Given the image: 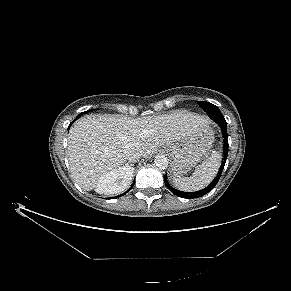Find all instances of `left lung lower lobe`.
<instances>
[{
    "label": "left lung lower lobe",
    "instance_id": "0a47b994",
    "mask_svg": "<svg viewBox=\"0 0 291 291\" xmlns=\"http://www.w3.org/2000/svg\"><path fill=\"white\" fill-rule=\"evenodd\" d=\"M213 121H215L221 128L222 133H223V137H224V158H223V162H222V166L217 174V176L214 178V180L204 189L196 191V192H183L180 190H177L175 188H173L172 186H170V184L167 181V177L166 175L164 176V183L166 184V186L168 187V189L173 192L175 195L182 197V198H188V199H192V198H198V197H202L203 195L207 194L208 192H210L218 183L220 176L222 174L226 159H227V155H228V135H227V123L225 121V118L223 117V115H218V116H209Z\"/></svg>",
    "mask_w": 291,
    "mask_h": 291
}]
</instances>
